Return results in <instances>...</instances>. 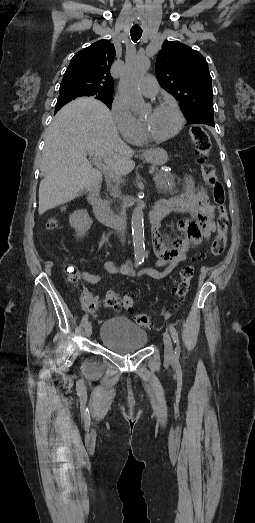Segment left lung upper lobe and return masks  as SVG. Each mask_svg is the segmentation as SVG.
<instances>
[{
	"label": "left lung upper lobe",
	"mask_w": 255,
	"mask_h": 523,
	"mask_svg": "<svg viewBox=\"0 0 255 523\" xmlns=\"http://www.w3.org/2000/svg\"><path fill=\"white\" fill-rule=\"evenodd\" d=\"M156 74L161 87L180 101L188 124L215 127L212 79L198 51L178 41L165 42L157 56Z\"/></svg>",
	"instance_id": "1"
}]
</instances>
